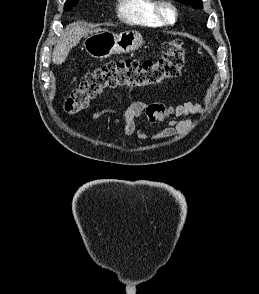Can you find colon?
Returning a JSON list of instances; mask_svg holds the SVG:
<instances>
[{"label": "colon", "instance_id": "5ec220e1", "mask_svg": "<svg viewBox=\"0 0 259 294\" xmlns=\"http://www.w3.org/2000/svg\"><path fill=\"white\" fill-rule=\"evenodd\" d=\"M185 64V44L178 39L162 45V56L156 60L124 59L111 61L88 72L64 100V110L76 114L105 89L117 87L144 88L178 77Z\"/></svg>", "mask_w": 259, "mask_h": 294}]
</instances>
